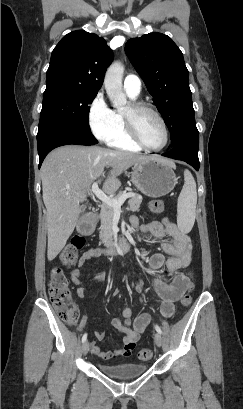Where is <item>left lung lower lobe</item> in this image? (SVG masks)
Listing matches in <instances>:
<instances>
[{"label": "left lung lower lobe", "mask_w": 243, "mask_h": 409, "mask_svg": "<svg viewBox=\"0 0 243 409\" xmlns=\"http://www.w3.org/2000/svg\"><path fill=\"white\" fill-rule=\"evenodd\" d=\"M199 132L196 128L195 119L188 120L178 134V138L171 144V150L162 156L182 160L199 170L198 159Z\"/></svg>", "instance_id": "1"}]
</instances>
